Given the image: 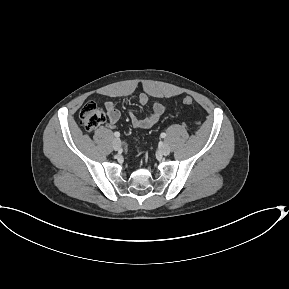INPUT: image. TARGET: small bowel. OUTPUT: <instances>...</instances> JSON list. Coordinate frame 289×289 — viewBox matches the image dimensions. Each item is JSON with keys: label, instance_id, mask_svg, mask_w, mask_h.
Segmentation results:
<instances>
[{"label": "small bowel", "instance_id": "1", "mask_svg": "<svg viewBox=\"0 0 289 289\" xmlns=\"http://www.w3.org/2000/svg\"><path fill=\"white\" fill-rule=\"evenodd\" d=\"M138 101L141 105H146L149 102L147 95L141 94L138 97ZM105 108L107 110V116L109 120V125L113 127L120 119V112L117 106L112 101L105 102ZM166 107L164 104L155 102L151 106V112L146 117H138L133 112L129 113L131 123L133 127L137 129H148L154 126L164 114Z\"/></svg>", "mask_w": 289, "mask_h": 289}]
</instances>
